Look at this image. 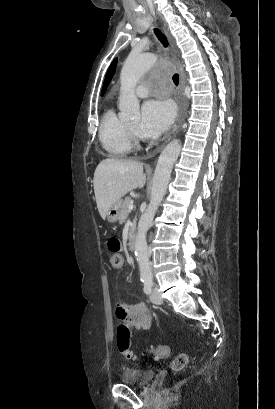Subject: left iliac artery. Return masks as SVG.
I'll use <instances>...</instances> for the list:
<instances>
[{
    "label": "left iliac artery",
    "mask_w": 275,
    "mask_h": 409,
    "mask_svg": "<svg viewBox=\"0 0 275 409\" xmlns=\"http://www.w3.org/2000/svg\"><path fill=\"white\" fill-rule=\"evenodd\" d=\"M143 283H144V292H145L146 294H150V293H151V288H152V286H153V280H152V278L149 277V278L145 279V280L143 281Z\"/></svg>",
    "instance_id": "left-iliac-artery-1"
}]
</instances>
